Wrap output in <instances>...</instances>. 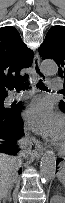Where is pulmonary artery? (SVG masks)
I'll return each mask as SVG.
<instances>
[{"label": "pulmonary artery", "instance_id": "pulmonary-artery-1", "mask_svg": "<svg viewBox=\"0 0 65 203\" xmlns=\"http://www.w3.org/2000/svg\"><path fill=\"white\" fill-rule=\"evenodd\" d=\"M49 87L51 90L57 91L62 87V85L59 82V80H51L49 83ZM28 97H30V94L12 95L10 97V100L14 101V100L26 99Z\"/></svg>", "mask_w": 65, "mask_h": 203}]
</instances>
